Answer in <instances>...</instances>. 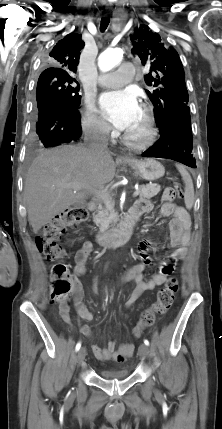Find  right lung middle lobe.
<instances>
[{
  "label": "right lung middle lobe",
  "mask_w": 222,
  "mask_h": 429,
  "mask_svg": "<svg viewBox=\"0 0 222 429\" xmlns=\"http://www.w3.org/2000/svg\"><path fill=\"white\" fill-rule=\"evenodd\" d=\"M74 77H39L36 89L37 108L55 97L66 100L73 106L79 107L81 96L79 95V85H75Z\"/></svg>",
  "instance_id": "right-lung-middle-lobe-1"
}]
</instances>
